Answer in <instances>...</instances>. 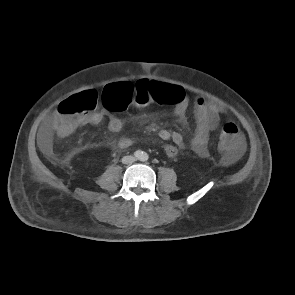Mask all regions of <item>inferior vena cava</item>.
Here are the masks:
<instances>
[{"label": "inferior vena cava", "mask_w": 295, "mask_h": 295, "mask_svg": "<svg viewBox=\"0 0 295 295\" xmlns=\"http://www.w3.org/2000/svg\"><path fill=\"white\" fill-rule=\"evenodd\" d=\"M135 160H136V158L133 157V156H124V157L122 158V163H124V164H129V163H133V162H135Z\"/></svg>", "instance_id": "1"}]
</instances>
